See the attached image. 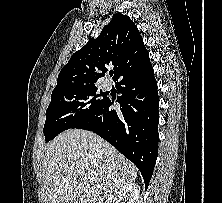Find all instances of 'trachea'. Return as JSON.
Returning <instances> with one entry per match:
<instances>
[{
	"label": "trachea",
	"instance_id": "3493384b",
	"mask_svg": "<svg viewBox=\"0 0 222 203\" xmlns=\"http://www.w3.org/2000/svg\"><path fill=\"white\" fill-rule=\"evenodd\" d=\"M109 75L112 76V75H113V71H110V72H109Z\"/></svg>",
	"mask_w": 222,
	"mask_h": 203
}]
</instances>
